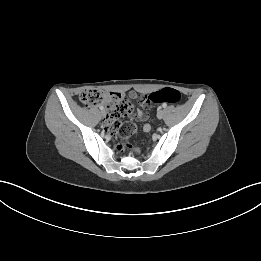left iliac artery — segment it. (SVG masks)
Returning a JSON list of instances; mask_svg holds the SVG:
<instances>
[{
	"label": "left iliac artery",
	"mask_w": 261,
	"mask_h": 261,
	"mask_svg": "<svg viewBox=\"0 0 261 261\" xmlns=\"http://www.w3.org/2000/svg\"><path fill=\"white\" fill-rule=\"evenodd\" d=\"M162 107H163V108H166V107H167V104H166V103H163V104H162Z\"/></svg>",
	"instance_id": "left-iliac-artery-1"
}]
</instances>
